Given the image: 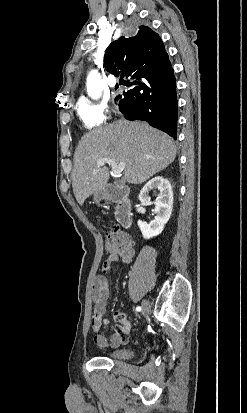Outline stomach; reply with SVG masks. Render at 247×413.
<instances>
[{"label":"stomach","mask_w":247,"mask_h":413,"mask_svg":"<svg viewBox=\"0 0 247 413\" xmlns=\"http://www.w3.org/2000/svg\"><path fill=\"white\" fill-rule=\"evenodd\" d=\"M94 200L95 202H97V204H99V202H101V200H107V192L106 190H97V192H95L94 194Z\"/></svg>","instance_id":"0dacf381"}]
</instances>
